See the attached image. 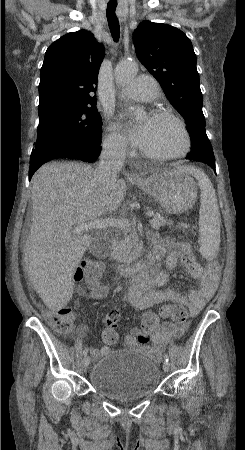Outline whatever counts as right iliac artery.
<instances>
[{
    "mask_svg": "<svg viewBox=\"0 0 245 450\" xmlns=\"http://www.w3.org/2000/svg\"><path fill=\"white\" fill-rule=\"evenodd\" d=\"M87 353H88V348H85L84 351H83V355L86 356Z\"/></svg>",
    "mask_w": 245,
    "mask_h": 450,
    "instance_id": "82829eb1",
    "label": "right iliac artery"
}]
</instances>
